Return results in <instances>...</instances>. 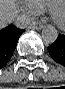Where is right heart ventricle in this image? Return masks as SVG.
I'll use <instances>...</instances> for the list:
<instances>
[{
  "label": "right heart ventricle",
  "mask_w": 65,
  "mask_h": 89,
  "mask_svg": "<svg viewBox=\"0 0 65 89\" xmlns=\"http://www.w3.org/2000/svg\"><path fill=\"white\" fill-rule=\"evenodd\" d=\"M59 0H28V8L32 13H43L51 9L55 4H59Z\"/></svg>",
  "instance_id": "1"
}]
</instances>
